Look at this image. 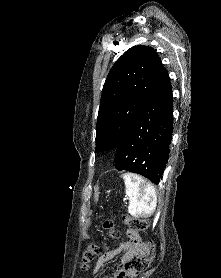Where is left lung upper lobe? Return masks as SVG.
<instances>
[{"label":"left lung upper lobe","instance_id":"left-lung-upper-lobe-1","mask_svg":"<svg viewBox=\"0 0 221 278\" xmlns=\"http://www.w3.org/2000/svg\"><path fill=\"white\" fill-rule=\"evenodd\" d=\"M165 71L155 50L148 46H133L116 61L102 90L96 152L119 146Z\"/></svg>","mask_w":221,"mask_h":278}]
</instances>
